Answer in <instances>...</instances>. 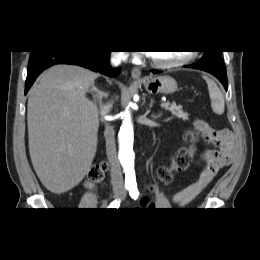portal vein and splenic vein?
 Masks as SVG:
<instances>
[{
  "instance_id": "portal-vein-and-splenic-vein-1",
  "label": "portal vein and splenic vein",
  "mask_w": 260,
  "mask_h": 260,
  "mask_svg": "<svg viewBox=\"0 0 260 260\" xmlns=\"http://www.w3.org/2000/svg\"><path fill=\"white\" fill-rule=\"evenodd\" d=\"M169 106V103H167V102H164V103H161V107H168Z\"/></svg>"
}]
</instances>
